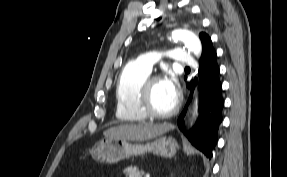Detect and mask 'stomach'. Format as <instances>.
Segmentation results:
<instances>
[{
  "instance_id": "obj_1",
  "label": "stomach",
  "mask_w": 287,
  "mask_h": 177,
  "mask_svg": "<svg viewBox=\"0 0 287 177\" xmlns=\"http://www.w3.org/2000/svg\"><path fill=\"white\" fill-rule=\"evenodd\" d=\"M178 144L170 136H158L151 142L131 143L124 139L106 138L96 143L91 155L93 159L104 163H116L131 156L143 155L147 152L165 158L173 157L177 152Z\"/></svg>"
}]
</instances>
